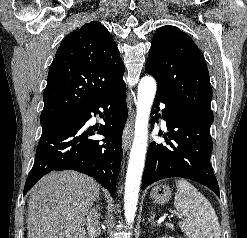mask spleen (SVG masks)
Here are the masks:
<instances>
[{"label":"spleen","mask_w":247,"mask_h":238,"mask_svg":"<svg viewBox=\"0 0 247 238\" xmlns=\"http://www.w3.org/2000/svg\"><path fill=\"white\" fill-rule=\"evenodd\" d=\"M174 206L183 217L179 226L188 238H220L221 228L211 203L185 179L176 181Z\"/></svg>","instance_id":"obj_1"}]
</instances>
